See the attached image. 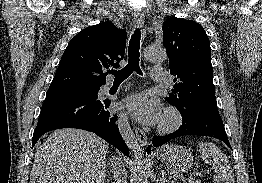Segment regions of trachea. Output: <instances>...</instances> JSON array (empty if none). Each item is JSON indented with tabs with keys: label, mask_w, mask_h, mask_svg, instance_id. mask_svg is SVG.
Instances as JSON below:
<instances>
[{
	"label": "trachea",
	"mask_w": 262,
	"mask_h": 183,
	"mask_svg": "<svg viewBox=\"0 0 262 183\" xmlns=\"http://www.w3.org/2000/svg\"><path fill=\"white\" fill-rule=\"evenodd\" d=\"M140 40H141V32L140 29L137 28L133 35L131 36L128 48V64L121 70H112L110 73L115 76V82H123L127 79L132 72H137L138 74H142V71L139 66L140 61Z\"/></svg>",
	"instance_id": "obj_1"
}]
</instances>
